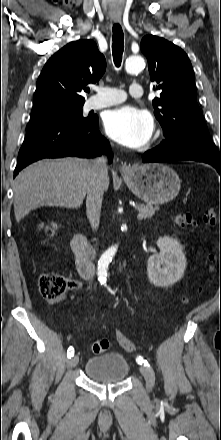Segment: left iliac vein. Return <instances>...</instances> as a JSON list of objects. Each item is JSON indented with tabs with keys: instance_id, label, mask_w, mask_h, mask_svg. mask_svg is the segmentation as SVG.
Returning <instances> with one entry per match:
<instances>
[{
	"instance_id": "4c4485c4",
	"label": "left iliac vein",
	"mask_w": 221,
	"mask_h": 440,
	"mask_svg": "<svg viewBox=\"0 0 221 440\" xmlns=\"http://www.w3.org/2000/svg\"><path fill=\"white\" fill-rule=\"evenodd\" d=\"M140 372L145 378L146 387L148 391H152L155 385V374L154 371L147 366H140Z\"/></svg>"
}]
</instances>
